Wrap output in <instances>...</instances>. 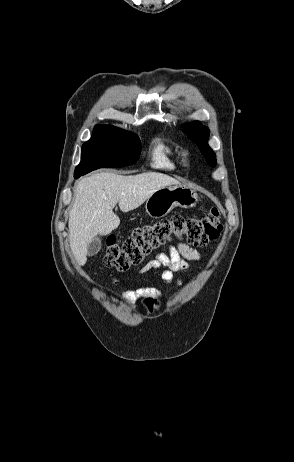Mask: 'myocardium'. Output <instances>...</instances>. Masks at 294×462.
I'll return each instance as SVG.
<instances>
[{"label": "myocardium", "instance_id": "f54148a6", "mask_svg": "<svg viewBox=\"0 0 294 462\" xmlns=\"http://www.w3.org/2000/svg\"><path fill=\"white\" fill-rule=\"evenodd\" d=\"M188 156H189V155H188L187 152H185V153L183 154V161H184V162H187V161H188Z\"/></svg>", "mask_w": 294, "mask_h": 462}]
</instances>
